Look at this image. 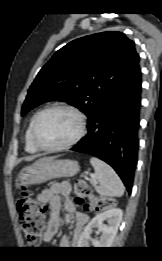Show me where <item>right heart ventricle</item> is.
<instances>
[{"mask_svg":"<svg viewBox=\"0 0 162 261\" xmlns=\"http://www.w3.org/2000/svg\"><path fill=\"white\" fill-rule=\"evenodd\" d=\"M35 117H36V115H34L31 118L29 125L25 132V148H26V151L29 153H36L39 150L35 147V145L33 144V141H32V127H33Z\"/></svg>","mask_w":162,"mask_h":261,"instance_id":"right-heart-ventricle-1","label":"right heart ventricle"}]
</instances>
